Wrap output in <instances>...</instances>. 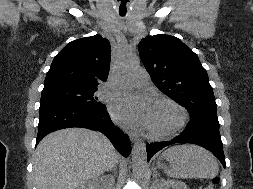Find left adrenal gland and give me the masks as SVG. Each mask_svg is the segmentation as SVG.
Returning <instances> with one entry per match:
<instances>
[{"instance_id": "1", "label": "left adrenal gland", "mask_w": 253, "mask_h": 189, "mask_svg": "<svg viewBox=\"0 0 253 189\" xmlns=\"http://www.w3.org/2000/svg\"><path fill=\"white\" fill-rule=\"evenodd\" d=\"M157 176H158V173H157V171L154 169L153 178H156Z\"/></svg>"}]
</instances>
